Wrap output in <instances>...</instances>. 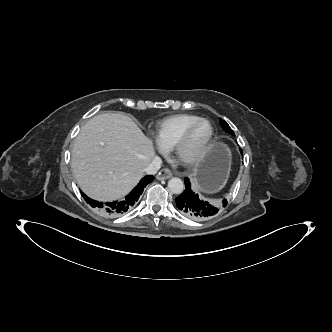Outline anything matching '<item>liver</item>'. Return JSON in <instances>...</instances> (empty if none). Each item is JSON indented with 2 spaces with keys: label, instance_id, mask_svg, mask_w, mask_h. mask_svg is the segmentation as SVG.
Segmentation results:
<instances>
[{
  "label": "liver",
  "instance_id": "liver-1",
  "mask_svg": "<svg viewBox=\"0 0 332 332\" xmlns=\"http://www.w3.org/2000/svg\"><path fill=\"white\" fill-rule=\"evenodd\" d=\"M153 156L152 142L130 117L105 113L81 128L71 167L85 194L107 202L127 195L144 176Z\"/></svg>",
  "mask_w": 332,
  "mask_h": 332
}]
</instances>
